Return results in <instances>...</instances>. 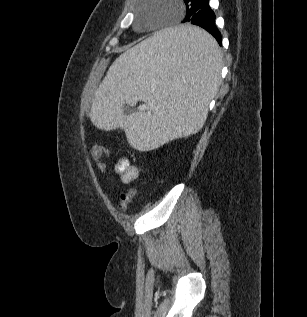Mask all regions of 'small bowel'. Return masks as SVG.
<instances>
[{"instance_id": "1", "label": "small bowel", "mask_w": 307, "mask_h": 317, "mask_svg": "<svg viewBox=\"0 0 307 317\" xmlns=\"http://www.w3.org/2000/svg\"><path fill=\"white\" fill-rule=\"evenodd\" d=\"M140 171L141 168L139 166L131 164L125 157L120 158L113 168V172L120 177L124 184H129L137 179Z\"/></svg>"}]
</instances>
